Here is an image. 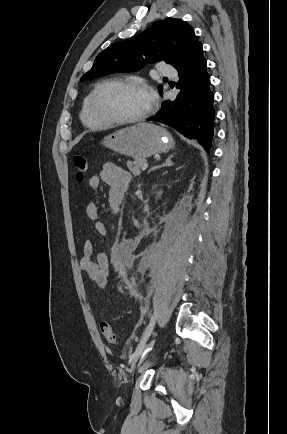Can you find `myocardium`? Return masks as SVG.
Returning <instances> with one entry per match:
<instances>
[{"mask_svg":"<svg viewBox=\"0 0 287 434\" xmlns=\"http://www.w3.org/2000/svg\"><path fill=\"white\" fill-rule=\"evenodd\" d=\"M111 85L138 87V88H142V89L146 90V85L142 81L136 80V79L110 78V79H107V80L101 82L100 84H98L94 88V90L92 91V93L90 95V100H89L90 112L96 120L100 121L103 125H131V124H136V123H139L141 121H144L151 114L152 105L150 104L144 113H142L136 117H132V118L117 119V118H112V117L103 115L99 111L98 106H97L98 97L104 88L111 86Z\"/></svg>","mask_w":287,"mask_h":434,"instance_id":"f54148a6","label":"myocardium"}]
</instances>
